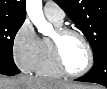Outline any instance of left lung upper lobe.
<instances>
[{
	"label": "left lung upper lobe",
	"mask_w": 107,
	"mask_h": 89,
	"mask_svg": "<svg viewBox=\"0 0 107 89\" xmlns=\"http://www.w3.org/2000/svg\"><path fill=\"white\" fill-rule=\"evenodd\" d=\"M84 33L94 57L107 51V0H54Z\"/></svg>",
	"instance_id": "obj_1"
}]
</instances>
